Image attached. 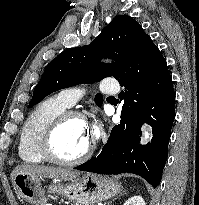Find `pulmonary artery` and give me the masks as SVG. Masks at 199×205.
<instances>
[{
	"mask_svg": "<svg viewBox=\"0 0 199 205\" xmlns=\"http://www.w3.org/2000/svg\"><path fill=\"white\" fill-rule=\"evenodd\" d=\"M101 90L105 94H114L118 91L117 84H114L113 86L108 85H101ZM85 93V89L82 87H70L66 88L61 91L60 98L67 106L74 105Z\"/></svg>",
	"mask_w": 199,
	"mask_h": 205,
	"instance_id": "e3ab8cb5",
	"label": "pulmonary artery"
}]
</instances>
